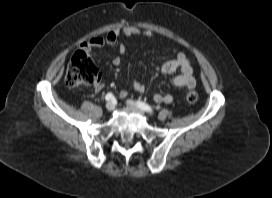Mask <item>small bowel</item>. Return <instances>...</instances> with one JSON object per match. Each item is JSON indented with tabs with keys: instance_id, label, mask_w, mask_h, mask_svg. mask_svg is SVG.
<instances>
[{
	"instance_id": "1",
	"label": "small bowel",
	"mask_w": 272,
	"mask_h": 198,
	"mask_svg": "<svg viewBox=\"0 0 272 198\" xmlns=\"http://www.w3.org/2000/svg\"><path fill=\"white\" fill-rule=\"evenodd\" d=\"M121 34L127 37H133L138 35L147 38L153 37V33L149 30H141L137 27L127 26L123 29H114L110 31L106 36L93 37L90 40L83 42L80 45V48L83 51L88 52L93 49L101 48L105 45L115 46L118 50V55L113 58L112 63L115 66H119L122 63L123 56L126 52L125 45L119 42V36ZM161 72L166 75H171L175 72H178L177 75L170 79V83L173 86L193 89L196 85L191 62L188 57L182 52H176L174 59L165 62L161 67ZM132 86L136 92L142 93L145 91V86L137 80L133 81ZM104 87L105 83L100 78L97 79L93 86L96 92L102 91ZM126 94V91H121L120 96L125 97ZM153 100L157 103L170 104L173 101V97L171 94L156 93L153 95Z\"/></svg>"
}]
</instances>
